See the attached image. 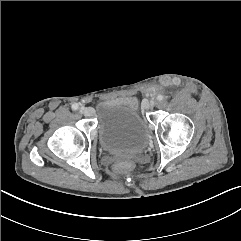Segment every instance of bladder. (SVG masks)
<instances>
[{
  "mask_svg": "<svg viewBox=\"0 0 241 241\" xmlns=\"http://www.w3.org/2000/svg\"><path fill=\"white\" fill-rule=\"evenodd\" d=\"M98 139L114 155L136 156L148 145V130L138 112L120 101H105L98 108Z\"/></svg>",
  "mask_w": 241,
  "mask_h": 241,
  "instance_id": "31cf9c89",
  "label": "bladder"
}]
</instances>
